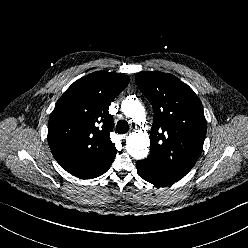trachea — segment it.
<instances>
[{
    "mask_svg": "<svg viewBox=\"0 0 248 248\" xmlns=\"http://www.w3.org/2000/svg\"><path fill=\"white\" fill-rule=\"evenodd\" d=\"M116 130L119 134H125L129 130V124L125 120L118 121L116 125Z\"/></svg>",
    "mask_w": 248,
    "mask_h": 248,
    "instance_id": "obj_1",
    "label": "trachea"
}]
</instances>
